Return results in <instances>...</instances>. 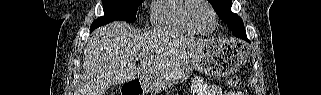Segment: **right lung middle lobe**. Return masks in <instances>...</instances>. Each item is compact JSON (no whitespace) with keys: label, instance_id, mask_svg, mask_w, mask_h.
Returning a JSON list of instances; mask_svg holds the SVG:
<instances>
[{"label":"right lung middle lobe","instance_id":"dd1d6c3e","mask_svg":"<svg viewBox=\"0 0 321 95\" xmlns=\"http://www.w3.org/2000/svg\"><path fill=\"white\" fill-rule=\"evenodd\" d=\"M104 16L93 21L90 32L115 20L136 21V13L143 0H103Z\"/></svg>","mask_w":321,"mask_h":95}]
</instances>
